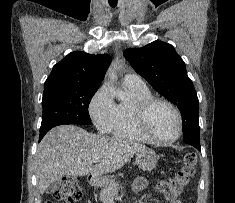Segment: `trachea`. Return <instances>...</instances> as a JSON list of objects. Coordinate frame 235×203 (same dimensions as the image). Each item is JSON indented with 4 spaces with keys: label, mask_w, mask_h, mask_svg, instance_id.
I'll list each match as a JSON object with an SVG mask.
<instances>
[{
    "label": "trachea",
    "mask_w": 235,
    "mask_h": 203,
    "mask_svg": "<svg viewBox=\"0 0 235 203\" xmlns=\"http://www.w3.org/2000/svg\"><path fill=\"white\" fill-rule=\"evenodd\" d=\"M111 5V7H115L116 6V4H110Z\"/></svg>",
    "instance_id": "trachea-1"
}]
</instances>
